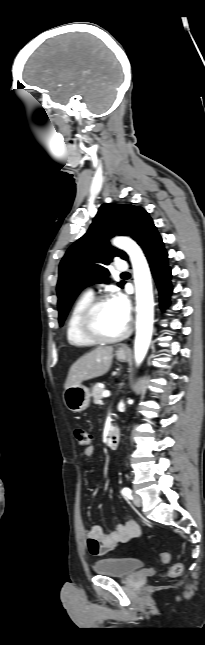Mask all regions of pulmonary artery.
Listing matches in <instances>:
<instances>
[{
    "label": "pulmonary artery",
    "instance_id": "pulmonary-artery-1",
    "mask_svg": "<svg viewBox=\"0 0 205 645\" xmlns=\"http://www.w3.org/2000/svg\"><path fill=\"white\" fill-rule=\"evenodd\" d=\"M127 269H128V264H127V262H126V261L118 260V261L115 263V270H116V271H118V272H125ZM86 293H88V294H91V295H92V294H93V291H92V289H87V290H86Z\"/></svg>",
    "mask_w": 205,
    "mask_h": 645
}]
</instances>
